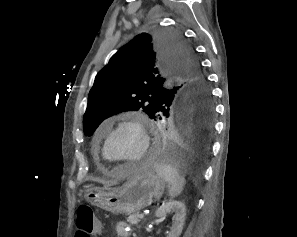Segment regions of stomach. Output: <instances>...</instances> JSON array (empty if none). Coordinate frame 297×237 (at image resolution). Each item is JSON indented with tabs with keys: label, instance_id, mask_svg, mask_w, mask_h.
<instances>
[{
	"label": "stomach",
	"instance_id": "stomach-1",
	"mask_svg": "<svg viewBox=\"0 0 297 237\" xmlns=\"http://www.w3.org/2000/svg\"><path fill=\"white\" fill-rule=\"evenodd\" d=\"M165 183L153 170L127 180L119 188H91L85 198L91 204L114 214H134L161 198Z\"/></svg>",
	"mask_w": 297,
	"mask_h": 237
}]
</instances>
